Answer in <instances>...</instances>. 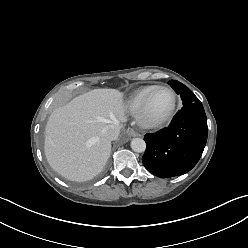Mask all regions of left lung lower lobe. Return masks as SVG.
<instances>
[{
	"label": "left lung lower lobe",
	"mask_w": 248,
	"mask_h": 248,
	"mask_svg": "<svg viewBox=\"0 0 248 248\" xmlns=\"http://www.w3.org/2000/svg\"><path fill=\"white\" fill-rule=\"evenodd\" d=\"M208 136L207 118L198 98L183 104L168 128L146 134L145 168L160 178L182 175L200 159Z\"/></svg>",
	"instance_id": "obj_1"
}]
</instances>
